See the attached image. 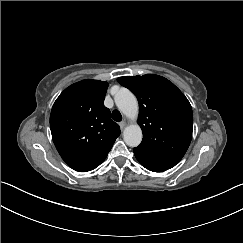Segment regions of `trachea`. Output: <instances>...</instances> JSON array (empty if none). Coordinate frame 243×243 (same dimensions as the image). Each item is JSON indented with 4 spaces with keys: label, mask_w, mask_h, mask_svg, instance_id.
Instances as JSON below:
<instances>
[{
    "label": "trachea",
    "mask_w": 243,
    "mask_h": 243,
    "mask_svg": "<svg viewBox=\"0 0 243 243\" xmlns=\"http://www.w3.org/2000/svg\"><path fill=\"white\" fill-rule=\"evenodd\" d=\"M112 119L116 122H120L122 120V115L118 110H114L112 112Z\"/></svg>",
    "instance_id": "obj_1"
}]
</instances>
